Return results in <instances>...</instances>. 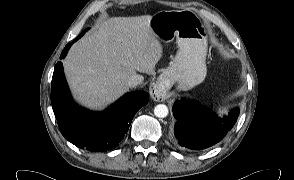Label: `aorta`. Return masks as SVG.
<instances>
[{"mask_svg":"<svg viewBox=\"0 0 294 180\" xmlns=\"http://www.w3.org/2000/svg\"><path fill=\"white\" fill-rule=\"evenodd\" d=\"M168 107L164 104H158L154 108V115L158 118H165L168 115Z\"/></svg>","mask_w":294,"mask_h":180,"instance_id":"1","label":"aorta"}]
</instances>
